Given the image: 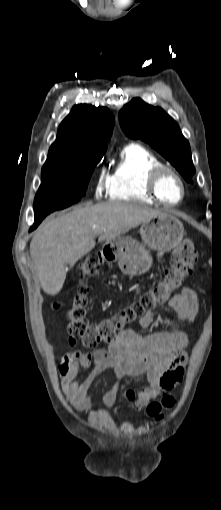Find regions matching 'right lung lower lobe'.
Segmentation results:
<instances>
[{
  "instance_id": "98d812e1",
  "label": "right lung lower lobe",
  "mask_w": 221,
  "mask_h": 510,
  "mask_svg": "<svg viewBox=\"0 0 221 510\" xmlns=\"http://www.w3.org/2000/svg\"><path fill=\"white\" fill-rule=\"evenodd\" d=\"M46 215H35L34 224L31 226L30 231L34 230L43 220Z\"/></svg>"
}]
</instances>
